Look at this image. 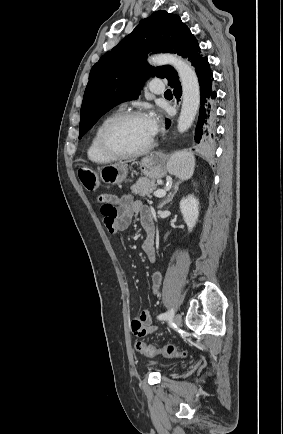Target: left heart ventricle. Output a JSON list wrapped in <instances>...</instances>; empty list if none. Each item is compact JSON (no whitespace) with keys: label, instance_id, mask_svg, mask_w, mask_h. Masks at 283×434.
I'll list each match as a JSON object with an SVG mask.
<instances>
[{"label":"left heart ventricle","instance_id":"obj_1","mask_svg":"<svg viewBox=\"0 0 283 434\" xmlns=\"http://www.w3.org/2000/svg\"><path fill=\"white\" fill-rule=\"evenodd\" d=\"M151 139L146 118L128 120L117 126L111 134L113 145L126 152L142 149Z\"/></svg>","mask_w":283,"mask_h":434}]
</instances>
